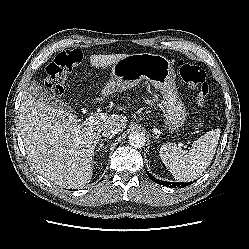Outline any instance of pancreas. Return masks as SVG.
<instances>
[{
	"mask_svg": "<svg viewBox=\"0 0 249 249\" xmlns=\"http://www.w3.org/2000/svg\"><path fill=\"white\" fill-rule=\"evenodd\" d=\"M147 103H149V104H150V103H151V101H149V100H148V101H147Z\"/></svg>",
	"mask_w": 249,
	"mask_h": 249,
	"instance_id": "cf45deb5",
	"label": "pancreas"
}]
</instances>
